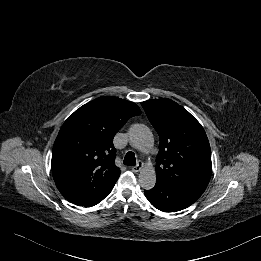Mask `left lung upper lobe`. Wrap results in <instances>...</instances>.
<instances>
[{"mask_svg":"<svg viewBox=\"0 0 261 261\" xmlns=\"http://www.w3.org/2000/svg\"><path fill=\"white\" fill-rule=\"evenodd\" d=\"M141 105L160 138L157 182L202 194L210 181L212 163L201 124L170 99L148 100Z\"/></svg>","mask_w":261,"mask_h":261,"instance_id":"1","label":"left lung upper lobe"}]
</instances>
